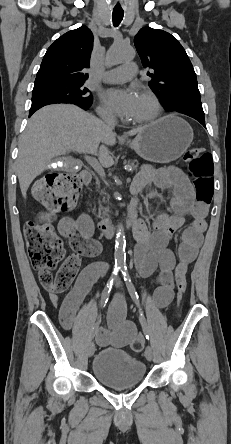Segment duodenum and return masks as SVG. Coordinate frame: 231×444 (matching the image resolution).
I'll use <instances>...</instances> for the list:
<instances>
[{
    "instance_id": "1",
    "label": "duodenum",
    "mask_w": 231,
    "mask_h": 444,
    "mask_svg": "<svg viewBox=\"0 0 231 444\" xmlns=\"http://www.w3.org/2000/svg\"><path fill=\"white\" fill-rule=\"evenodd\" d=\"M91 173L89 170L84 169L80 173V179L84 184H88L91 181ZM141 219H139L136 207L131 206L127 213L122 217L120 221L111 220H101L95 223V226L100 234L106 238L113 237L120 228H132L134 231L137 230Z\"/></svg>"
}]
</instances>
